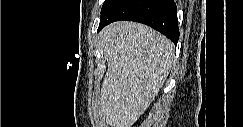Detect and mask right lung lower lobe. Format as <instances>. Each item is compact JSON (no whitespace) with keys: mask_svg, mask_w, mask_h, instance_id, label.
Returning <instances> with one entry per match:
<instances>
[{"mask_svg":"<svg viewBox=\"0 0 243 127\" xmlns=\"http://www.w3.org/2000/svg\"><path fill=\"white\" fill-rule=\"evenodd\" d=\"M119 20L146 24L164 34L175 45L178 42L177 6L173 0H111L101 10L98 31Z\"/></svg>","mask_w":243,"mask_h":127,"instance_id":"obj_1","label":"right lung lower lobe"}]
</instances>
